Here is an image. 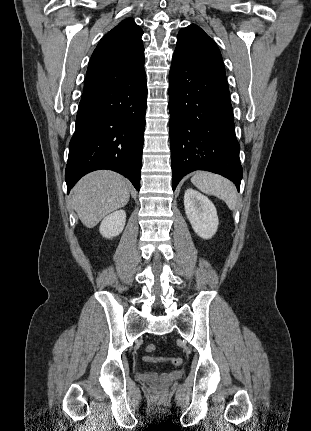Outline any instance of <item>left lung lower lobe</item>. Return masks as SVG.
<instances>
[{
  "mask_svg": "<svg viewBox=\"0 0 311 431\" xmlns=\"http://www.w3.org/2000/svg\"><path fill=\"white\" fill-rule=\"evenodd\" d=\"M169 110L173 190L186 174L206 170L239 191L243 170L225 69L174 52Z\"/></svg>",
  "mask_w": 311,
  "mask_h": 431,
  "instance_id": "1",
  "label": "left lung lower lobe"
}]
</instances>
